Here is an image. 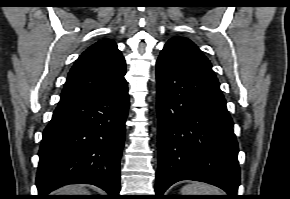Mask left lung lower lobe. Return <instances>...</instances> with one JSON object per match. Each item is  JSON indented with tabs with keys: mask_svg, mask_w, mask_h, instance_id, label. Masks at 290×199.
I'll list each match as a JSON object with an SVG mask.
<instances>
[{
	"mask_svg": "<svg viewBox=\"0 0 290 199\" xmlns=\"http://www.w3.org/2000/svg\"><path fill=\"white\" fill-rule=\"evenodd\" d=\"M158 172L156 194L177 181H202L237 199L238 144L217 78L162 51L156 64Z\"/></svg>",
	"mask_w": 290,
	"mask_h": 199,
	"instance_id": "0a47b994",
	"label": "left lung lower lobe"
}]
</instances>
